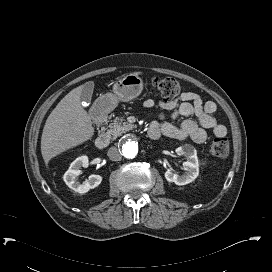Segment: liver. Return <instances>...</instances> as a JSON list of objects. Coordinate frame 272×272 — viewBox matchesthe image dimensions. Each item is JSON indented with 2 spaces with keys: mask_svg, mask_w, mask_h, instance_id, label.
Masks as SVG:
<instances>
[{
  "mask_svg": "<svg viewBox=\"0 0 272 272\" xmlns=\"http://www.w3.org/2000/svg\"><path fill=\"white\" fill-rule=\"evenodd\" d=\"M84 85L70 91L46 120L41 137V154L46 165L52 158L86 142L94 134L91 117L81 105Z\"/></svg>",
  "mask_w": 272,
  "mask_h": 272,
  "instance_id": "1",
  "label": "liver"
}]
</instances>
